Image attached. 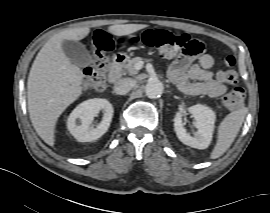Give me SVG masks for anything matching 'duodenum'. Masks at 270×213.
Wrapping results in <instances>:
<instances>
[{
	"label": "duodenum",
	"instance_id": "1",
	"mask_svg": "<svg viewBox=\"0 0 270 213\" xmlns=\"http://www.w3.org/2000/svg\"><path fill=\"white\" fill-rule=\"evenodd\" d=\"M124 56L120 53L114 54L110 57V63L108 68V79L111 82L118 81L120 77V64L123 61Z\"/></svg>",
	"mask_w": 270,
	"mask_h": 213
}]
</instances>
